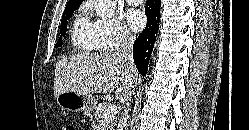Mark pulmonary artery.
Returning <instances> with one entry per match:
<instances>
[{
    "label": "pulmonary artery",
    "instance_id": "obj_1",
    "mask_svg": "<svg viewBox=\"0 0 249 130\" xmlns=\"http://www.w3.org/2000/svg\"><path fill=\"white\" fill-rule=\"evenodd\" d=\"M130 5H138L140 4L143 0H126Z\"/></svg>",
    "mask_w": 249,
    "mask_h": 130
}]
</instances>
